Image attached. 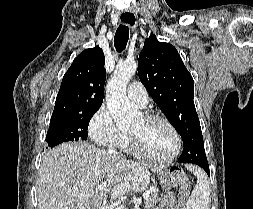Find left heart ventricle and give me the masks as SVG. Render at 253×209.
Returning a JSON list of instances; mask_svg holds the SVG:
<instances>
[{
  "label": "left heart ventricle",
  "mask_w": 253,
  "mask_h": 209,
  "mask_svg": "<svg viewBox=\"0 0 253 209\" xmlns=\"http://www.w3.org/2000/svg\"><path fill=\"white\" fill-rule=\"evenodd\" d=\"M130 132L137 136L142 148L155 157H167L175 148L174 134L164 122L147 121L141 116Z\"/></svg>",
  "instance_id": "left-heart-ventricle-1"
}]
</instances>
